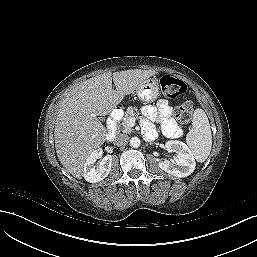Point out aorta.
<instances>
[{"mask_svg": "<svg viewBox=\"0 0 257 257\" xmlns=\"http://www.w3.org/2000/svg\"><path fill=\"white\" fill-rule=\"evenodd\" d=\"M141 144V141L138 137H132L130 139V146L133 148H138Z\"/></svg>", "mask_w": 257, "mask_h": 257, "instance_id": "1", "label": "aorta"}]
</instances>
